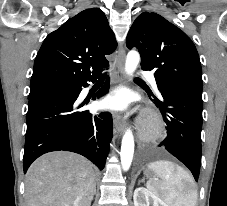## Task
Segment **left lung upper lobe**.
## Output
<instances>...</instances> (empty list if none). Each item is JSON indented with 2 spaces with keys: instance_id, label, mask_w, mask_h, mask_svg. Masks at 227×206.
<instances>
[{
  "instance_id": "left-lung-upper-lobe-1",
  "label": "left lung upper lobe",
  "mask_w": 227,
  "mask_h": 206,
  "mask_svg": "<svg viewBox=\"0 0 227 206\" xmlns=\"http://www.w3.org/2000/svg\"><path fill=\"white\" fill-rule=\"evenodd\" d=\"M137 48L143 70H153L157 86H179L202 92V69L192 40L156 13L143 12L126 39Z\"/></svg>"
}]
</instances>
